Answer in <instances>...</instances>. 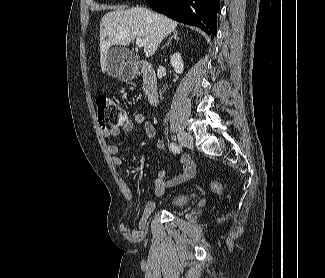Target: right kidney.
<instances>
[{
  "label": "right kidney",
  "mask_w": 325,
  "mask_h": 278,
  "mask_svg": "<svg viewBox=\"0 0 325 278\" xmlns=\"http://www.w3.org/2000/svg\"><path fill=\"white\" fill-rule=\"evenodd\" d=\"M170 62L176 73L181 74L183 72L184 64L180 53H174L171 56Z\"/></svg>",
  "instance_id": "obj_1"
}]
</instances>
